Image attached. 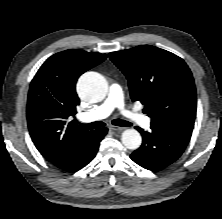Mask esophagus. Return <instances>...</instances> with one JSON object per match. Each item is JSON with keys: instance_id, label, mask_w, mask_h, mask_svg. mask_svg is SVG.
I'll list each match as a JSON object with an SVG mask.
<instances>
[{"instance_id": "34e87169", "label": "esophagus", "mask_w": 222, "mask_h": 219, "mask_svg": "<svg viewBox=\"0 0 222 219\" xmlns=\"http://www.w3.org/2000/svg\"><path fill=\"white\" fill-rule=\"evenodd\" d=\"M110 129L113 130V131H116V132H120V131H123L125 128L124 127L111 126Z\"/></svg>"}]
</instances>
